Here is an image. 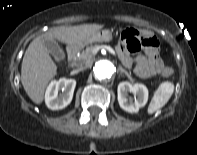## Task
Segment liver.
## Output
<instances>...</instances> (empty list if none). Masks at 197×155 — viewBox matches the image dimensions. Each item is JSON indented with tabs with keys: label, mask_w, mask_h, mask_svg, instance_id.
<instances>
[{
	"label": "liver",
	"mask_w": 197,
	"mask_h": 155,
	"mask_svg": "<svg viewBox=\"0 0 197 155\" xmlns=\"http://www.w3.org/2000/svg\"><path fill=\"white\" fill-rule=\"evenodd\" d=\"M102 28L103 25L98 24L62 26L42 34L29 44L22 61L21 82L27 95L34 103L43 102L45 89L57 74V67L46 51L43 40L57 39L69 46H74Z\"/></svg>",
	"instance_id": "1"
}]
</instances>
